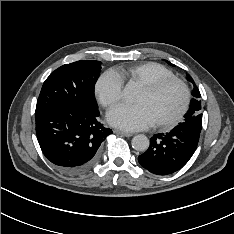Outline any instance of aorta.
Segmentation results:
<instances>
[{
  "label": "aorta",
  "mask_w": 234,
  "mask_h": 234,
  "mask_svg": "<svg viewBox=\"0 0 234 234\" xmlns=\"http://www.w3.org/2000/svg\"><path fill=\"white\" fill-rule=\"evenodd\" d=\"M123 93L126 99H131L133 96V87L131 85H126ZM131 144L135 150L143 152L149 148L150 142L145 135L139 134L132 138Z\"/></svg>",
  "instance_id": "aorta-1"
}]
</instances>
